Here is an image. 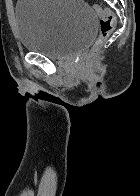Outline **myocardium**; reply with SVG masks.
Here are the masks:
<instances>
[{
    "instance_id": "1",
    "label": "myocardium",
    "mask_w": 140,
    "mask_h": 196,
    "mask_svg": "<svg viewBox=\"0 0 140 196\" xmlns=\"http://www.w3.org/2000/svg\"><path fill=\"white\" fill-rule=\"evenodd\" d=\"M40 192H58V191H40Z\"/></svg>"
}]
</instances>
